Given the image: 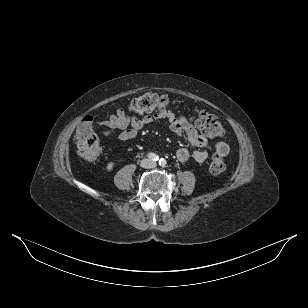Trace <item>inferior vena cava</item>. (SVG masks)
Returning a JSON list of instances; mask_svg holds the SVG:
<instances>
[{
    "mask_svg": "<svg viewBox=\"0 0 308 308\" xmlns=\"http://www.w3.org/2000/svg\"><path fill=\"white\" fill-rule=\"evenodd\" d=\"M142 163H143V167H145V168H154V167H156V163L151 161V160H149V159H144Z\"/></svg>",
    "mask_w": 308,
    "mask_h": 308,
    "instance_id": "inferior-vena-cava-1",
    "label": "inferior vena cava"
}]
</instances>
